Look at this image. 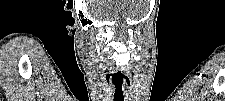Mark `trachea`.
Here are the masks:
<instances>
[{"label": "trachea", "instance_id": "trachea-1", "mask_svg": "<svg viewBox=\"0 0 225 101\" xmlns=\"http://www.w3.org/2000/svg\"><path fill=\"white\" fill-rule=\"evenodd\" d=\"M114 101H124L122 85L116 86L115 94H114Z\"/></svg>", "mask_w": 225, "mask_h": 101}]
</instances>
